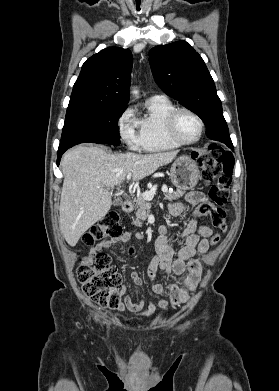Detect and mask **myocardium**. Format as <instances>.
Masks as SVG:
<instances>
[{
    "label": "myocardium",
    "mask_w": 279,
    "mask_h": 391,
    "mask_svg": "<svg viewBox=\"0 0 279 391\" xmlns=\"http://www.w3.org/2000/svg\"><path fill=\"white\" fill-rule=\"evenodd\" d=\"M182 112H186V113H189L190 115H192L197 120V122L199 124V134L194 140L185 141V140L181 139L179 137V135L177 134L176 122H177L178 116ZM166 129H167V134H168L169 138L173 142H175L176 144H178L180 146H188V145H193V144L197 143L201 139L203 132H204V122H203L202 118L200 117V115L197 112H195L194 110H192L191 108L175 107L168 114V116L166 118Z\"/></svg>",
    "instance_id": "1"
}]
</instances>
